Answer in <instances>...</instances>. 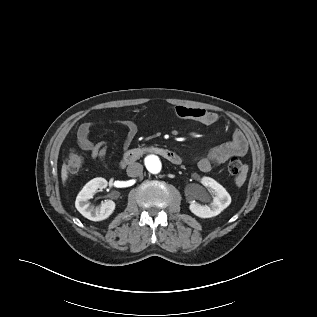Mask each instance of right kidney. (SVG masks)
Here are the masks:
<instances>
[{
    "label": "right kidney",
    "instance_id": "obj_1",
    "mask_svg": "<svg viewBox=\"0 0 317 317\" xmlns=\"http://www.w3.org/2000/svg\"><path fill=\"white\" fill-rule=\"evenodd\" d=\"M106 187L107 181L104 178L97 177L90 180L77 195L75 207L87 219L102 221L113 213L115 202L112 200L102 201L99 206H93L89 203V200L98 189L102 190Z\"/></svg>",
    "mask_w": 317,
    "mask_h": 317
}]
</instances>
